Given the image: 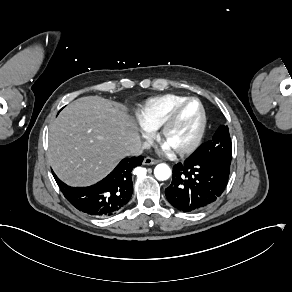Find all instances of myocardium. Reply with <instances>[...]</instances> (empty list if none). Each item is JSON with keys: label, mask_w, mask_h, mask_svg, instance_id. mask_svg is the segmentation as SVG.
Masks as SVG:
<instances>
[{"label": "myocardium", "mask_w": 292, "mask_h": 292, "mask_svg": "<svg viewBox=\"0 0 292 292\" xmlns=\"http://www.w3.org/2000/svg\"><path fill=\"white\" fill-rule=\"evenodd\" d=\"M192 102L197 103V105L199 107V117H198V122H197L196 128L194 130V133L192 134L189 141L187 143H185L184 145H181V146L171 145L167 141L168 131H169L171 125L174 123V121L177 119V117L181 113V111L188 104H190ZM205 122H206L205 109H204V106L201 103V101L197 98H194V97H188V98L184 99L183 101H181L180 103L176 104L169 111V113L167 114V116L165 117V119L163 120V122L160 126V136H161L163 142L167 146H169L170 148L175 150L176 152L189 153V152L193 151L197 147L198 143L200 142L202 134L204 132V128H205Z\"/></svg>", "instance_id": "myocardium-1"}]
</instances>
